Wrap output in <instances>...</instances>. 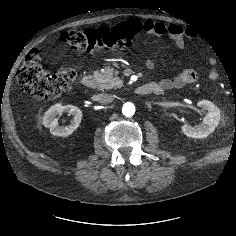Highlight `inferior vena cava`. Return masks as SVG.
Returning a JSON list of instances; mask_svg holds the SVG:
<instances>
[{"mask_svg": "<svg viewBox=\"0 0 236 236\" xmlns=\"http://www.w3.org/2000/svg\"><path fill=\"white\" fill-rule=\"evenodd\" d=\"M114 95L102 93L98 95V100L100 103L108 104L111 103L114 100Z\"/></svg>", "mask_w": 236, "mask_h": 236, "instance_id": "obj_1", "label": "inferior vena cava"}]
</instances>
